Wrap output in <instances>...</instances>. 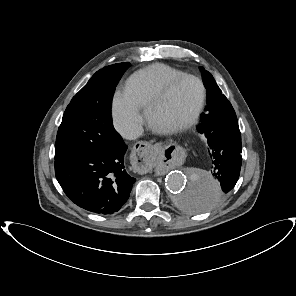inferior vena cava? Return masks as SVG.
I'll return each mask as SVG.
<instances>
[{
  "instance_id": "1",
  "label": "inferior vena cava",
  "mask_w": 296,
  "mask_h": 296,
  "mask_svg": "<svg viewBox=\"0 0 296 296\" xmlns=\"http://www.w3.org/2000/svg\"><path fill=\"white\" fill-rule=\"evenodd\" d=\"M143 133V127L139 124H131L120 130V134L127 140H133L140 137Z\"/></svg>"
}]
</instances>
